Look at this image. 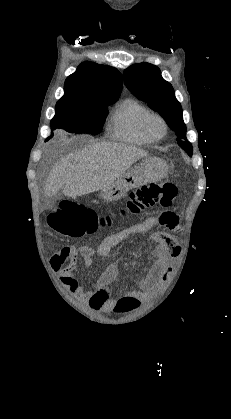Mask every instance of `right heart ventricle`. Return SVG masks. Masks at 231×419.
<instances>
[{
    "label": "right heart ventricle",
    "instance_id": "e07e8e85",
    "mask_svg": "<svg viewBox=\"0 0 231 419\" xmlns=\"http://www.w3.org/2000/svg\"><path fill=\"white\" fill-rule=\"evenodd\" d=\"M150 113L149 109L133 99H127L118 105L111 117L109 134L120 141L145 145L150 142L142 130V121Z\"/></svg>",
    "mask_w": 231,
    "mask_h": 419
}]
</instances>
